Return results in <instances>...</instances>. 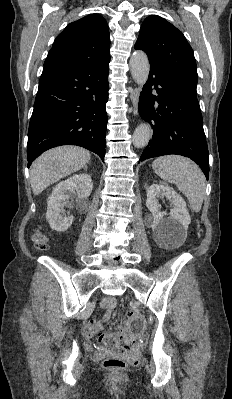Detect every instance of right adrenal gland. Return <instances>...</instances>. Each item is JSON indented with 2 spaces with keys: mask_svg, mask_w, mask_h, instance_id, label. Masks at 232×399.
<instances>
[{
  "mask_svg": "<svg viewBox=\"0 0 232 399\" xmlns=\"http://www.w3.org/2000/svg\"><path fill=\"white\" fill-rule=\"evenodd\" d=\"M87 168H88V166H84L83 170H85V172H87Z\"/></svg>",
  "mask_w": 232,
  "mask_h": 399,
  "instance_id": "right-adrenal-gland-1",
  "label": "right adrenal gland"
}]
</instances>
